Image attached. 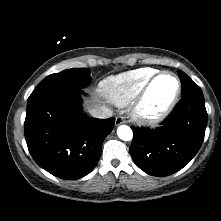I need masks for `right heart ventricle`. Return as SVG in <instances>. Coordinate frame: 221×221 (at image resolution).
<instances>
[{"mask_svg":"<svg viewBox=\"0 0 221 221\" xmlns=\"http://www.w3.org/2000/svg\"><path fill=\"white\" fill-rule=\"evenodd\" d=\"M156 69L143 67L104 79L99 89L103 96L117 106H124L140 92Z\"/></svg>","mask_w":221,"mask_h":221,"instance_id":"obj_1","label":"right heart ventricle"}]
</instances>
